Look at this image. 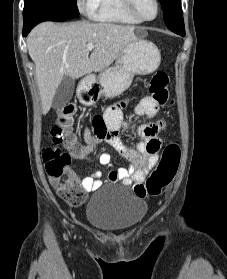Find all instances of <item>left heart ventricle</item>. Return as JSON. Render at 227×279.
Wrapping results in <instances>:
<instances>
[{
    "label": "left heart ventricle",
    "mask_w": 227,
    "mask_h": 279,
    "mask_svg": "<svg viewBox=\"0 0 227 279\" xmlns=\"http://www.w3.org/2000/svg\"><path fill=\"white\" fill-rule=\"evenodd\" d=\"M138 13L144 18H152L156 13L154 0H134Z\"/></svg>",
    "instance_id": "1"
}]
</instances>
